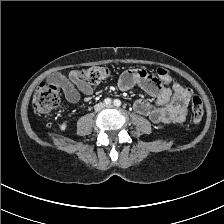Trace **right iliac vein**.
I'll list each match as a JSON object with an SVG mask.
<instances>
[{"mask_svg": "<svg viewBox=\"0 0 224 224\" xmlns=\"http://www.w3.org/2000/svg\"><path fill=\"white\" fill-rule=\"evenodd\" d=\"M103 107H104L103 104H101V103L100 104H97L96 107H95V110L96 111H100L101 109H103Z\"/></svg>", "mask_w": 224, "mask_h": 224, "instance_id": "obj_1", "label": "right iliac vein"}]
</instances>
